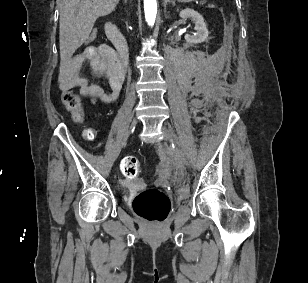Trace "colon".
<instances>
[{
    "instance_id": "1",
    "label": "colon",
    "mask_w": 308,
    "mask_h": 283,
    "mask_svg": "<svg viewBox=\"0 0 308 283\" xmlns=\"http://www.w3.org/2000/svg\"><path fill=\"white\" fill-rule=\"evenodd\" d=\"M96 35V31L93 30L88 40L93 41ZM62 102L73 114L74 118L77 121H81L82 105L79 95L73 90H66L62 93ZM85 136L90 138L92 133L86 131ZM120 168L123 176L127 179H135L142 172V166L139 160L134 156L124 157L121 161ZM133 207L139 216L149 221L161 222L168 216L170 201L163 192L157 189H146L135 197Z\"/></svg>"
}]
</instances>
